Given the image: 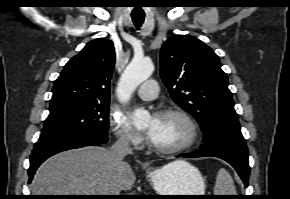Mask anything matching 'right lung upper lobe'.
I'll use <instances>...</instances> for the list:
<instances>
[{"mask_svg":"<svg viewBox=\"0 0 290 199\" xmlns=\"http://www.w3.org/2000/svg\"><path fill=\"white\" fill-rule=\"evenodd\" d=\"M114 62L112 41L98 38L87 43L56 79L50 110L73 104L109 103Z\"/></svg>","mask_w":290,"mask_h":199,"instance_id":"right-lung-upper-lobe-1","label":"right lung upper lobe"}]
</instances>
